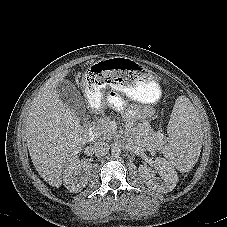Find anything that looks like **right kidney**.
<instances>
[{"instance_id":"right-kidney-1","label":"right kidney","mask_w":227,"mask_h":227,"mask_svg":"<svg viewBox=\"0 0 227 227\" xmlns=\"http://www.w3.org/2000/svg\"><path fill=\"white\" fill-rule=\"evenodd\" d=\"M91 165L87 161L72 157L65 165L63 181L65 187L73 193L80 192L90 179Z\"/></svg>"}]
</instances>
